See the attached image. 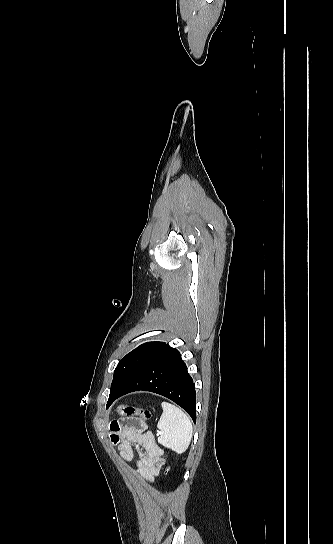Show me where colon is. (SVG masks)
<instances>
[{
    "instance_id": "colon-1",
    "label": "colon",
    "mask_w": 333,
    "mask_h": 544,
    "mask_svg": "<svg viewBox=\"0 0 333 544\" xmlns=\"http://www.w3.org/2000/svg\"><path fill=\"white\" fill-rule=\"evenodd\" d=\"M116 412L123 417L130 419H139L141 422L148 421L152 418V414L149 410L128 404H121L117 406ZM158 471L166 474L168 472V467L166 465H162L159 467Z\"/></svg>"
}]
</instances>
